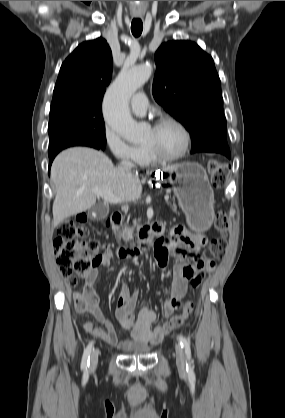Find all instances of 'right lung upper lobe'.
I'll return each mask as SVG.
<instances>
[{
    "label": "right lung upper lobe",
    "mask_w": 285,
    "mask_h": 418,
    "mask_svg": "<svg viewBox=\"0 0 285 418\" xmlns=\"http://www.w3.org/2000/svg\"><path fill=\"white\" fill-rule=\"evenodd\" d=\"M112 67V53L106 40L100 37L80 44L60 68L51 105H101Z\"/></svg>",
    "instance_id": "obj_1"
}]
</instances>
